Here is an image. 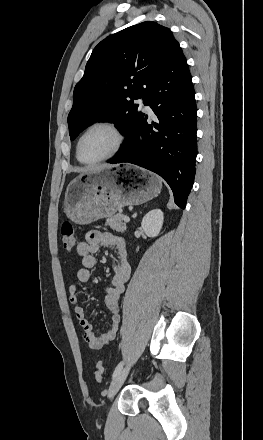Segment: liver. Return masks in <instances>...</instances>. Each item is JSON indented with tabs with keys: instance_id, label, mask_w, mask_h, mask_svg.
I'll use <instances>...</instances> for the list:
<instances>
[{
	"instance_id": "1",
	"label": "liver",
	"mask_w": 263,
	"mask_h": 440,
	"mask_svg": "<svg viewBox=\"0 0 263 440\" xmlns=\"http://www.w3.org/2000/svg\"><path fill=\"white\" fill-rule=\"evenodd\" d=\"M111 167L112 166H110V165H102V166L97 167L96 169L111 168Z\"/></svg>"
}]
</instances>
